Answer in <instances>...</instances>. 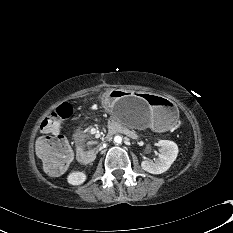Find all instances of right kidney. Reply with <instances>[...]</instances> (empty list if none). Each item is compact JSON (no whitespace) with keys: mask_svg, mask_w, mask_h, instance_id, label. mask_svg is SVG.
<instances>
[{"mask_svg":"<svg viewBox=\"0 0 233 233\" xmlns=\"http://www.w3.org/2000/svg\"><path fill=\"white\" fill-rule=\"evenodd\" d=\"M85 180H86V174L81 171L72 172L67 177L68 183L74 186L83 184Z\"/></svg>","mask_w":233,"mask_h":233,"instance_id":"right-kidney-1","label":"right kidney"}]
</instances>
